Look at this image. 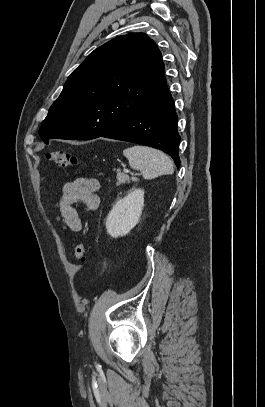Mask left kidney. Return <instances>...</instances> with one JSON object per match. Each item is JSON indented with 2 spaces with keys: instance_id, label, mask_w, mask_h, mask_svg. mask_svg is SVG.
Instances as JSON below:
<instances>
[{
  "instance_id": "left-kidney-1",
  "label": "left kidney",
  "mask_w": 265,
  "mask_h": 407,
  "mask_svg": "<svg viewBox=\"0 0 265 407\" xmlns=\"http://www.w3.org/2000/svg\"><path fill=\"white\" fill-rule=\"evenodd\" d=\"M144 206V190L135 189L113 206L106 220L113 238L127 235L139 222Z\"/></svg>"
}]
</instances>
